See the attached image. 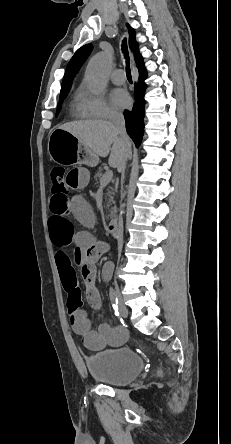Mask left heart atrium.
Wrapping results in <instances>:
<instances>
[{
    "label": "left heart atrium",
    "mask_w": 231,
    "mask_h": 444,
    "mask_svg": "<svg viewBox=\"0 0 231 444\" xmlns=\"http://www.w3.org/2000/svg\"><path fill=\"white\" fill-rule=\"evenodd\" d=\"M111 100L113 104L119 108H126L131 103V98L123 89H115L111 93Z\"/></svg>",
    "instance_id": "1"
}]
</instances>
